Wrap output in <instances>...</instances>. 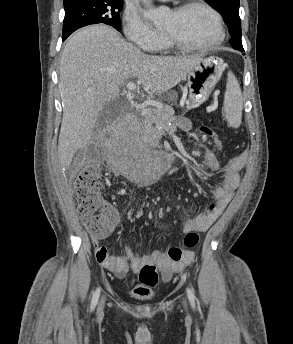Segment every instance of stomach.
Masks as SVG:
<instances>
[{
    "label": "stomach",
    "instance_id": "stomach-1",
    "mask_svg": "<svg viewBox=\"0 0 293 344\" xmlns=\"http://www.w3.org/2000/svg\"><path fill=\"white\" fill-rule=\"evenodd\" d=\"M223 72V62L217 57H208L186 76L189 89V106L195 108L204 103L212 93Z\"/></svg>",
    "mask_w": 293,
    "mask_h": 344
}]
</instances>
